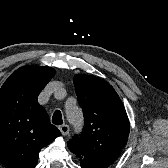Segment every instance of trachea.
<instances>
[{"label": "trachea", "mask_w": 168, "mask_h": 168, "mask_svg": "<svg viewBox=\"0 0 168 168\" xmlns=\"http://www.w3.org/2000/svg\"><path fill=\"white\" fill-rule=\"evenodd\" d=\"M52 123L55 125H61L63 123L62 114L59 110H56L52 117Z\"/></svg>", "instance_id": "3493384b"}]
</instances>
